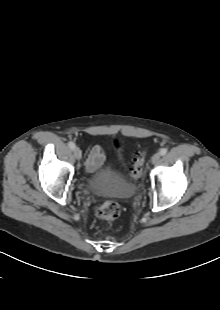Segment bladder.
<instances>
[{
	"mask_svg": "<svg viewBox=\"0 0 220 310\" xmlns=\"http://www.w3.org/2000/svg\"><path fill=\"white\" fill-rule=\"evenodd\" d=\"M88 186L93 192L101 195L130 198L134 193L133 185L109 165H103L90 178Z\"/></svg>",
	"mask_w": 220,
	"mask_h": 310,
	"instance_id": "bladder-1",
	"label": "bladder"
}]
</instances>
